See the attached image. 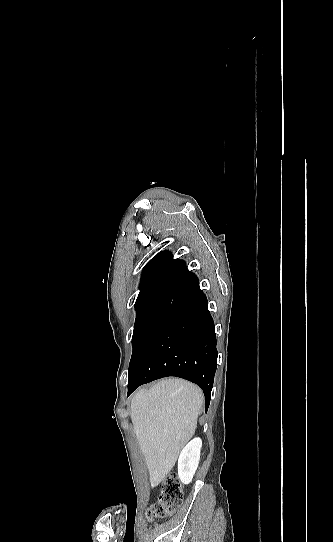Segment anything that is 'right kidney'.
<instances>
[{
    "label": "right kidney",
    "instance_id": "ca27d5eb",
    "mask_svg": "<svg viewBox=\"0 0 333 542\" xmlns=\"http://www.w3.org/2000/svg\"><path fill=\"white\" fill-rule=\"evenodd\" d=\"M202 448L201 438H194L183 448L178 460V476L182 484H190L198 468L200 452Z\"/></svg>",
    "mask_w": 333,
    "mask_h": 542
}]
</instances>
